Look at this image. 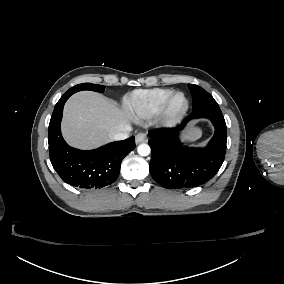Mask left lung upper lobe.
I'll return each mask as SVG.
<instances>
[{"label":"left lung upper lobe","mask_w":284,"mask_h":284,"mask_svg":"<svg viewBox=\"0 0 284 284\" xmlns=\"http://www.w3.org/2000/svg\"><path fill=\"white\" fill-rule=\"evenodd\" d=\"M188 88L190 89L192 95L193 110L205 105H217V102L214 100V98L202 87L193 84H188Z\"/></svg>","instance_id":"1"}]
</instances>
